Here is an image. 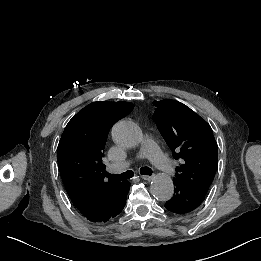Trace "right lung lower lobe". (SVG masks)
Segmentation results:
<instances>
[{
    "label": "right lung lower lobe",
    "mask_w": 261,
    "mask_h": 261,
    "mask_svg": "<svg viewBox=\"0 0 261 261\" xmlns=\"http://www.w3.org/2000/svg\"><path fill=\"white\" fill-rule=\"evenodd\" d=\"M129 186L130 183L126 181L120 187L99 196L82 215L92 222H106L115 217L126 204Z\"/></svg>",
    "instance_id": "obj_1"
}]
</instances>
